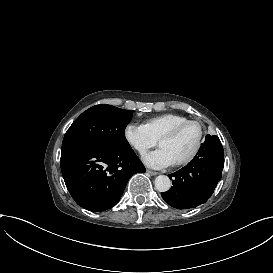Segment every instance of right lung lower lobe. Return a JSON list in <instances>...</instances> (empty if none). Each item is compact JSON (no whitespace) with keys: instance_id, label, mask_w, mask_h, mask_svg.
<instances>
[{"instance_id":"98d812e1","label":"right lung lower lobe","mask_w":273,"mask_h":273,"mask_svg":"<svg viewBox=\"0 0 273 273\" xmlns=\"http://www.w3.org/2000/svg\"><path fill=\"white\" fill-rule=\"evenodd\" d=\"M61 171L75 202L89 211L117 204L129 178L145 168L132 149L114 150L87 144L62 149Z\"/></svg>"}]
</instances>
